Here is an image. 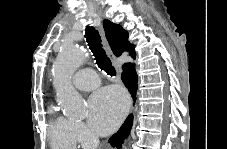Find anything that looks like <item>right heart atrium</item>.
Here are the masks:
<instances>
[{"label": "right heart atrium", "mask_w": 227, "mask_h": 149, "mask_svg": "<svg viewBox=\"0 0 227 149\" xmlns=\"http://www.w3.org/2000/svg\"><path fill=\"white\" fill-rule=\"evenodd\" d=\"M72 131L77 142L81 144H90L88 142L91 140L92 135L82 122H72Z\"/></svg>", "instance_id": "d8ad5b80"}]
</instances>
